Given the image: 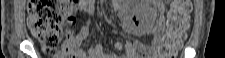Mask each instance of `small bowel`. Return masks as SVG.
<instances>
[{
	"label": "small bowel",
	"instance_id": "obj_1",
	"mask_svg": "<svg viewBox=\"0 0 225 58\" xmlns=\"http://www.w3.org/2000/svg\"><path fill=\"white\" fill-rule=\"evenodd\" d=\"M155 7L161 12L165 8V4L161 1L154 2ZM82 9L87 15H91L94 11V1L87 0L82 3ZM163 24L161 22H157L154 25L149 26L145 32L152 35V44L155 45L157 40L162 33ZM89 35V25L88 22H85L80 27L78 35L74 37L72 40L67 42V45L72 47L74 51L73 58H137L139 50L144 46L141 41L135 42H121L120 40H116L114 42V48L118 51L123 50L124 53L120 56L115 54H109L104 51V48L101 44L96 45L91 48L88 52H85L82 49H79L81 42Z\"/></svg>",
	"mask_w": 225,
	"mask_h": 58
}]
</instances>
